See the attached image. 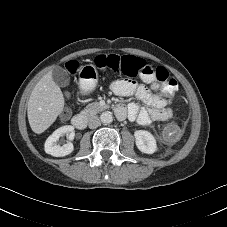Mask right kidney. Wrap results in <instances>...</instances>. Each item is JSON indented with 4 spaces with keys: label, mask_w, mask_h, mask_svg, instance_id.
Masks as SVG:
<instances>
[{
    "label": "right kidney",
    "mask_w": 227,
    "mask_h": 227,
    "mask_svg": "<svg viewBox=\"0 0 227 227\" xmlns=\"http://www.w3.org/2000/svg\"><path fill=\"white\" fill-rule=\"evenodd\" d=\"M62 136H66L70 141L73 140L75 136L74 127L66 125L55 130L45 141L44 150L47 154L54 157H63L73 152L74 146L70 141L62 146L57 144V141Z\"/></svg>",
    "instance_id": "ca27d5eb"
}]
</instances>
